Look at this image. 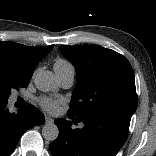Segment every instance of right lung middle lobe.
I'll use <instances>...</instances> for the list:
<instances>
[{"label":"right lung middle lobe","instance_id":"1","mask_svg":"<svg viewBox=\"0 0 156 156\" xmlns=\"http://www.w3.org/2000/svg\"><path fill=\"white\" fill-rule=\"evenodd\" d=\"M30 80L20 79L13 74L0 71V99H8L12 89L27 87Z\"/></svg>","mask_w":156,"mask_h":156}]
</instances>
